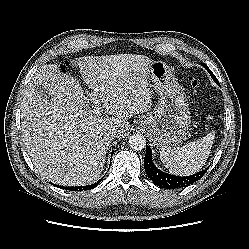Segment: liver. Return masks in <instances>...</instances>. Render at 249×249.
Instances as JSON below:
<instances>
[{"mask_svg":"<svg viewBox=\"0 0 249 249\" xmlns=\"http://www.w3.org/2000/svg\"><path fill=\"white\" fill-rule=\"evenodd\" d=\"M73 62L110 117L88 109L79 81L58 64L35 73L20 106L23 142L34 166L47 180L67 186L96 180L112 141L107 132L116 129L123 137L130 127L127 119L152 106L147 79L153 60L147 56H87ZM37 86L50 99L40 98Z\"/></svg>","mask_w":249,"mask_h":249,"instance_id":"1","label":"liver"}]
</instances>
